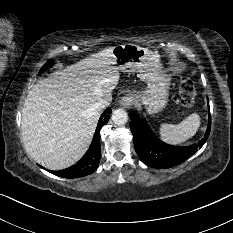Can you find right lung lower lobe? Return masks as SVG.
Listing matches in <instances>:
<instances>
[{
	"label": "right lung lower lobe",
	"mask_w": 233,
	"mask_h": 233,
	"mask_svg": "<svg viewBox=\"0 0 233 233\" xmlns=\"http://www.w3.org/2000/svg\"><path fill=\"white\" fill-rule=\"evenodd\" d=\"M110 112L111 109L108 108L101 115L93 141L86 154L77 162V164L60 171H50L51 173L64 178H79L85 175H89L97 169L101 158V146L98 140L99 132L100 129L108 122V114Z\"/></svg>",
	"instance_id": "98d812e1"
}]
</instances>
